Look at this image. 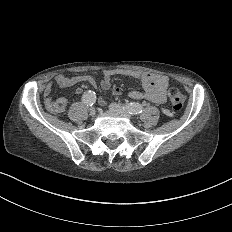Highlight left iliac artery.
Segmentation results:
<instances>
[{"mask_svg": "<svg viewBox=\"0 0 232 232\" xmlns=\"http://www.w3.org/2000/svg\"><path fill=\"white\" fill-rule=\"evenodd\" d=\"M125 110L130 114L142 113L143 107L138 103H130L126 105Z\"/></svg>", "mask_w": 232, "mask_h": 232, "instance_id": "1", "label": "left iliac artery"}]
</instances>
